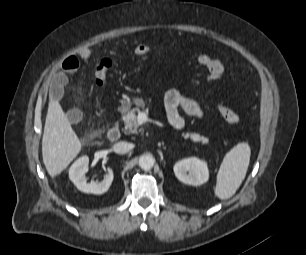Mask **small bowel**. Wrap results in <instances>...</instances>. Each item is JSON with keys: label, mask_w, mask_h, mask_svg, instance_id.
<instances>
[{"label": "small bowel", "mask_w": 306, "mask_h": 255, "mask_svg": "<svg viewBox=\"0 0 306 255\" xmlns=\"http://www.w3.org/2000/svg\"><path fill=\"white\" fill-rule=\"evenodd\" d=\"M83 60H89L91 52L89 49H83L80 52ZM79 60L76 56L65 58L60 67L55 70L49 78L51 98L55 101L61 100L64 88L68 81V75L74 73L79 68ZM181 108L189 117L204 120L205 113L200 104L191 97L184 95L177 89H171L164 96V109L169 124L175 129L184 127L185 121L179 113ZM67 117L70 122L76 123L81 118V112L77 109L68 111Z\"/></svg>", "instance_id": "c3829d8e"}]
</instances>
